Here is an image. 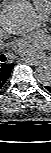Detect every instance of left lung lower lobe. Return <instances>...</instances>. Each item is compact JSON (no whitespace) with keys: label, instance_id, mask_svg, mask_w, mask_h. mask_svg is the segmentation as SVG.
<instances>
[{"label":"left lung lower lobe","instance_id":"0a47b994","mask_svg":"<svg viewBox=\"0 0 51 153\" xmlns=\"http://www.w3.org/2000/svg\"><path fill=\"white\" fill-rule=\"evenodd\" d=\"M46 89L51 92V86H47Z\"/></svg>","mask_w":51,"mask_h":153}]
</instances>
